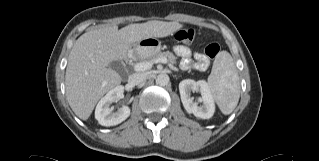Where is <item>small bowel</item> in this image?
Returning a JSON list of instances; mask_svg holds the SVG:
<instances>
[{
	"instance_id": "1",
	"label": "small bowel",
	"mask_w": 319,
	"mask_h": 161,
	"mask_svg": "<svg viewBox=\"0 0 319 161\" xmlns=\"http://www.w3.org/2000/svg\"><path fill=\"white\" fill-rule=\"evenodd\" d=\"M174 52L180 57V67L183 70H189L196 68L199 70H205L208 67V60L201 53H192L190 48L178 45L174 48Z\"/></svg>"
}]
</instances>
